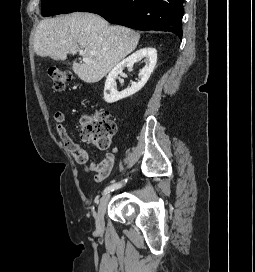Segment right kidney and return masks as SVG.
Listing matches in <instances>:
<instances>
[{
	"mask_svg": "<svg viewBox=\"0 0 255 272\" xmlns=\"http://www.w3.org/2000/svg\"><path fill=\"white\" fill-rule=\"evenodd\" d=\"M143 57L146 65L140 70L138 82H133L130 88L118 92L115 86V78L122 73L125 67H132L137 60ZM156 62L157 50L152 47H145L118 63L107 76L104 87V100L107 103H114L141 90L153 72Z\"/></svg>",
	"mask_w": 255,
	"mask_h": 272,
	"instance_id": "right-kidney-1",
	"label": "right kidney"
}]
</instances>
